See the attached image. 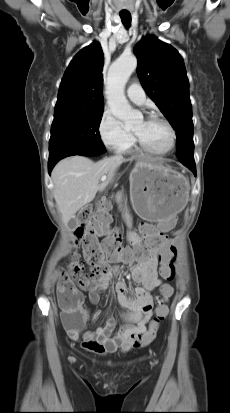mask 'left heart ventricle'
<instances>
[{"label": "left heart ventricle", "mask_w": 230, "mask_h": 413, "mask_svg": "<svg viewBox=\"0 0 230 413\" xmlns=\"http://www.w3.org/2000/svg\"><path fill=\"white\" fill-rule=\"evenodd\" d=\"M136 133L142 141L155 149H163L169 142V131L166 126L157 120H140L134 127Z\"/></svg>", "instance_id": "left-heart-ventricle-1"}]
</instances>
